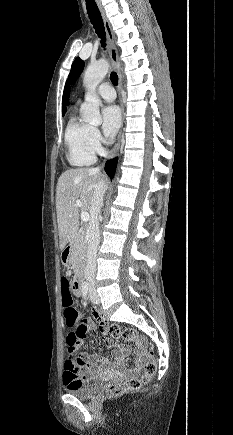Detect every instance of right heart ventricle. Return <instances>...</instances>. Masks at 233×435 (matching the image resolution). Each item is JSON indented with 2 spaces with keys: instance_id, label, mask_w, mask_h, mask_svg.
Masks as SVG:
<instances>
[{
  "instance_id": "e07e8e85",
  "label": "right heart ventricle",
  "mask_w": 233,
  "mask_h": 435,
  "mask_svg": "<svg viewBox=\"0 0 233 435\" xmlns=\"http://www.w3.org/2000/svg\"><path fill=\"white\" fill-rule=\"evenodd\" d=\"M91 127L72 115L65 131L68 161L73 166H90L95 162V153L90 147Z\"/></svg>"
}]
</instances>
